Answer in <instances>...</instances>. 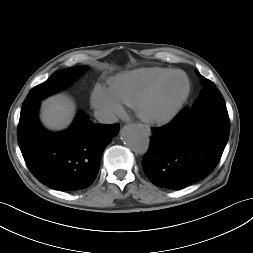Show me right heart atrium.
<instances>
[{
  "mask_svg": "<svg viewBox=\"0 0 253 253\" xmlns=\"http://www.w3.org/2000/svg\"><path fill=\"white\" fill-rule=\"evenodd\" d=\"M92 106L106 118L121 116L124 113L122 104L108 87L97 84L91 94Z\"/></svg>",
  "mask_w": 253,
  "mask_h": 253,
  "instance_id": "1",
  "label": "right heart atrium"
}]
</instances>
